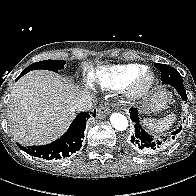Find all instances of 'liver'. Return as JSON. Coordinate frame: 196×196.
Masks as SVG:
<instances>
[{"label":"liver","mask_w":196,"mask_h":196,"mask_svg":"<svg viewBox=\"0 0 196 196\" xmlns=\"http://www.w3.org/2000/svg\"><path fill=\"white\" fill-rule=\"evenodd\" d=\"M86 92L51 71L35 70L13 86L7 113L21 144L44 145L61 136L75 117L72 101Z\"/></svg>","instance_id":"liver-1"}]
</instances>
